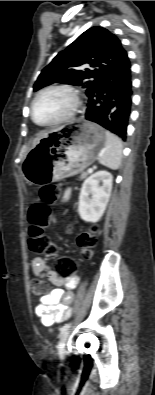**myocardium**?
<instances>
[{"label": "myocardium", "mask_w": 155, "mask_h": 395, "mask_svg": "<svg viewBox=\"0 0 155 395\" xmlns=\"http://www.w3.org/2000/svg\"><path fill=\"white\" fill-rule=\"evenodd\" d=\"M52 91H62V92L67 93L71 98V105H70L68 111L63 116L56 119L55 121H52L49 123H44V124L38 123L34 118L35 104L41 96H43L46 93L52 92ZM80 105H81V100L79 97V93L74 87H72L70 85H66V84L50 85V86H47V87L41 89L32 99L31 104H30V118H31L32 122L39 127H45V128L56 127V126H59V125H62V124H65V123L71 121L77 114V112L80 108Z\"/></svg>", "instance_id": "f54148a6"}]
</instances>
